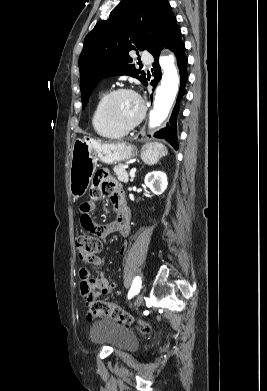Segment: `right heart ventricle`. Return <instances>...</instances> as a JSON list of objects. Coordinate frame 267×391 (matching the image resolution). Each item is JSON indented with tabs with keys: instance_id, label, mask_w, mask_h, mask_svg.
<instances>
[{
	"instance_id": "right-heart-ventricle-1",
	"label": "right heart ventricle",
	"mask_w": 267,
	"mask_h": 391,
	"mask_svg": "<svg viewBox=\"0 0 267 391\" xmlns=\"http://www.w3.org/2000/svg\"><path fill=\"white\" fill-rule=\"evenodd\" d=\"M107 96V92L101 93L94 105L93 112H92V126L94 130L99 134L100 136L106 137V138H119L125 134L124 131L115 129L112 127L105 119L103 114V104L105 101V98Z\"/></svg>"
}]
</instances>
